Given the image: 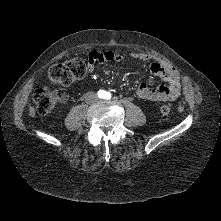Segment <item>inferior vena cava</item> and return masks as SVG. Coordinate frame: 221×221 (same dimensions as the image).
<instances>
[{"label":"inferior vena cava","instance_id":"602c4592","mask_svg":"<svg viewBox=\"0 0 221 221\" xmlns=\"http://www.w3.org/2000/svg\"><path fill=\"white\" fill-rule=\"evenodd\" d=\"M86 100L87 101H96L97 100V95L94 92H88L86 94Z\"/></svg>","mask_w":221,"mask_h":221}]
</instances>
